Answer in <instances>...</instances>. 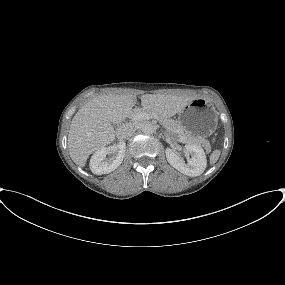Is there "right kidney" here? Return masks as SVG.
I'll return each mask as SVG.
<instances>
[{"label": "right kidney", "mask_w": 285, "mask_h": 285, "mask_svg": "<svg viewBox=\"0 0 285 285\" xmlns=\"http://www.w3.org/2000/svg\"><path fill=\"white\" fill-rule=\"evenodd\" d=\"M126 144L119 142L97 150L90 160V169L96 175L108 174L120 166L125 155ZM111 155L110 158H106Z\"/></svg>", "instance_id": "obj_1"}]
</instances>
